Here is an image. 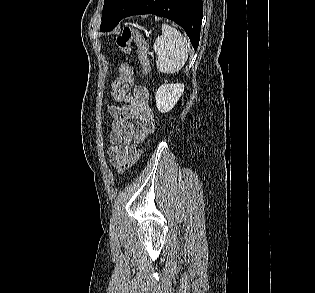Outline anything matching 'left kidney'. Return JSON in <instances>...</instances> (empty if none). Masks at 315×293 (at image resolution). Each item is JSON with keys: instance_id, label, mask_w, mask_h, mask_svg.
<instances>
[{"instance_id": "1", "label": "left kidney", "mask_w": 315, "mask_h": 293, "mask_svg": "<svg viewBox=\"0 0 315 293\" xmlns=\"http://www.w3.org/2000/svg\"><path fill=\"white\" fill-rule=\"evenodd\" d=\"M183 84H163L156 94V106L159 112L166 113L173 109L179 98L183 94Z\"/></svg>"}]
</instances>
